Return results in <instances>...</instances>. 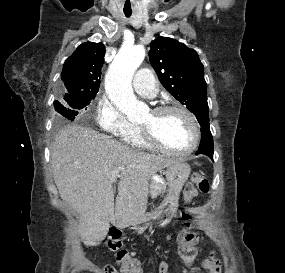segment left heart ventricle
I'll list each match as a JSON object with an SVG mask.
<instances>
[{"label":"left heart ventricle","instance_id":"1","mask_svg":"<svg viewBox=\"0 0 285 273\" xmlns=\"http://www.w3.org/2000/svg\"><path fill=\"white\" fill-rule=\"evenodd\" d=\"M139 124L150 128L160 142L175 150L187 149L193 140V128L190 121L181 113H146Z\"/></svg>","mask_w":285,"mask_h":273}]
</instances>
